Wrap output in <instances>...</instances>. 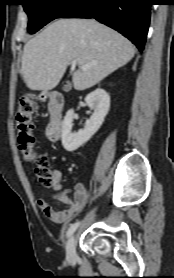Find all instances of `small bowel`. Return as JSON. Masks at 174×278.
Listing matches in <instances>:
<instances>
[{
  "mask_svg": "<svg viewBox=\"0 0 174 278\" xmlns=\"http://www.w3.org/2000/svg\"><path fill=\"white\" fill-rule=\"evenodd\" d=\"M53 189L60 192V200L66 205L61 211H56L47 203L44 198H38L36 203L42 210L44 215L56 223H64L72 218V216L80 212L87 202V189L82 183H77L74 188L73 198H69L62 190L60 183V174L56 173Z\"/></svg>",
  "mask_w": 174,
  "mask_h": 278,
  "instance_id": "obj_1",
  "label": "small bowel"
}]
</instances>
